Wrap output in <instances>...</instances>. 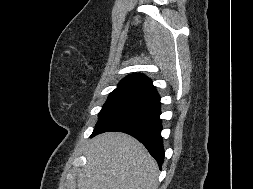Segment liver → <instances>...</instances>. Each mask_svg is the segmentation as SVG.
I'll return each instance as SVG.
<instances>
[{
	"label": "liver",
	"mask_w": 253,
	"mask_h": 189,
	"mask_svg": "<svg viewBox=\"0 0 253 189\" xmlns=\"http://www.w3.org/2000/svg\"><path fill=\"white\" fill-rule=\"evenodd\" d=\"M78 189H157L158 166L132 136L107 132L92 139Z\"/></svg>",
	"instance_id": "obj_1"
}]
</instances>
